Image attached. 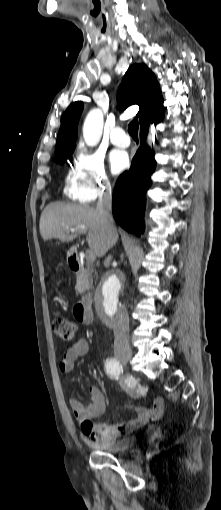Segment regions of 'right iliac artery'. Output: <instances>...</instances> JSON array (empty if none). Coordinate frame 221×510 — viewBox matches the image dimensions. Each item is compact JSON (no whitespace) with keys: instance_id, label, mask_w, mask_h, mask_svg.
<instances>
[{"instance_id":"right-iliac-artery-1","label":"right iliac artery","mask_w":221,"mask_h":510,"mask_svg":"<svg viewBox=\"0 0 221 510\" xmlns=\"http://www.w3.org/2000/svg\"><path fill=\"white\" fill-rule=\"evenodd\" d=\"M105 368L108 374L116 378L123 373L122 365L115 358L108 359L105 363Z\"/></svg>"}]
</instances>
